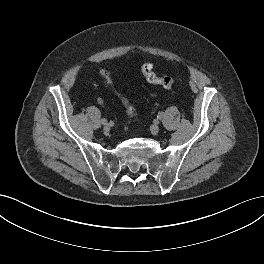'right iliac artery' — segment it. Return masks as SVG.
I'll list each match as a JSON object with an SVG mask.
<instances>
[{
    "label": "right iliac artery",
    "mask_w": 264,
    "mask_h": 264,
    "mask_svg": "<svg viewBox=\"0 0 264 264\" xmlns=\"http://www.w3.org/2000/svg\"><path fill=\"white\" fill-rule=\"evenodd\" d=\"M101 123H102V124H106V123H107V120L103 118V119L101 120Z\"/></svg>",
    "instance_id": "1"
}]
</instances>
